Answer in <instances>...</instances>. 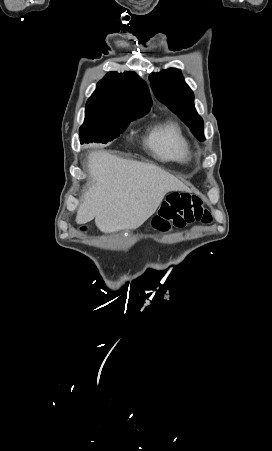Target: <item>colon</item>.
I'll list each match as a JSON object with an SVG mask.
<instances>
[{
  "mask_svg": "<svg viewBox=\"0 0 272 451\" xmlns=\"http://www.w3.org/2000/svg\"><path fill=\"white\" fill-rule=\"evenodd\" d=\"M212 220V214L204 207L201 197L189 193H174L162 205L159 215L154 217L153 226L167 230L172 225L181 227L194 223L209 224Z\"/></svg>",
  "mask_w": 272,
  "mask_h": 451,
  "instance_id": "obj_1",
  "label": "colon"
}]
</instances>
